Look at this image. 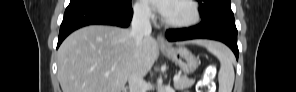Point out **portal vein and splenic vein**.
<instances>
[{"instance_id": "1", "label": "portal vein and splenic vein", "mask_w": 296, "mask_h": 92, "mask_svg": "<svg viewBox=\"0 0 296 92\" xmlns=\"http://www.w3.org/2000/svg\"><path fill=\"white\" fill-rule=\"evenodd\" d=\"M105 75L107 76V75H109V73H106ZM179 79H180V75H176L173 77L174 82L178 81Z\"/></svg>"}]
</instances>
